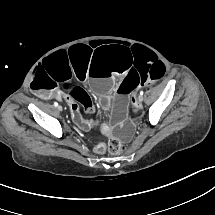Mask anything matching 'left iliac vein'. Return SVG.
<instances>
[{"label":"left iliac vein","instance_id":"4c4485c4","mask_svg":"<svg viewBox=\"0 0 215 215\" xmlns=\"http://www.w3.org/2000/svg\"><path fill=\"white\" fill-rule=\"evenodd\" d=\"M143 100V96L139 95L138 101L141 102Z\"/></svg>","mask_w":215,"mask_h":215}]
</instances>
